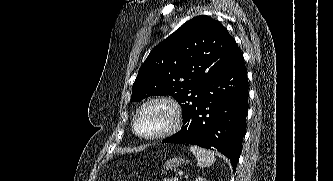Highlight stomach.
I'll return each mask as SVG.
<instances>
[{"label":"stomach","mask_w":333,"mask_h":181,"mask_svg":"<svg viewBox=\"0 0 333 181\" xmlns=\"http://www.w3.org/2000/svg\"><path fill=\"white\" fill-rule=\"evenodd\" d=\"M185 162H186L185 159L175 157L167 160L164 164V168H166L167 170H173L179 167L180 165L184 164Z\"/></svg>","instance_id":"stomach-1"}]
</instances>
